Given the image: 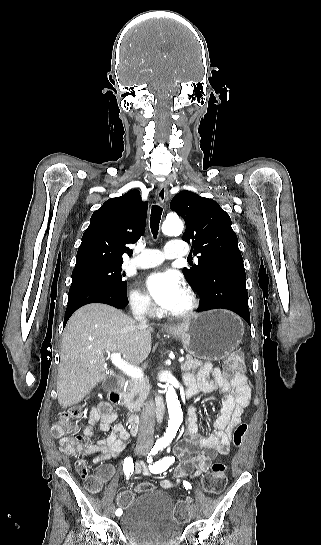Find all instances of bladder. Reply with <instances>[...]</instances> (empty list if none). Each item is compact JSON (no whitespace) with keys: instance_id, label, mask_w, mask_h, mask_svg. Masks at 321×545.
Segmentation results:
<instances>
[{"instance_id":"1","label":"bladder","mask_w":321,"mask_h":545,"mask_svg":"<svg viewBox=\"0 0 321 545\" xmlns=\"http://www.w3.org/2000/svg\"><path fill=\"white\" fill-rule=\"evenodd\" d=\"M130 545H177L182 525L174 515L170 496L163 490L141 492L118 517Z\"/></svg>"}]
</instances>
